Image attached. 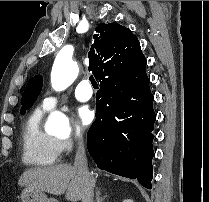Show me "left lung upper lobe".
Masks as SVG:
<instances>
[{
  "mask_svg": "<svg viewBox=\"0 0 209 202\" xmlns=\"http://www.w3.org/2000/svg\"><path fill=\"white\" fill-rule=\"evenodd\" d=\"M43 86V78L41 75H36L34 76L27 84L21 104H22V109H21V114L25 113V109H29L34 102L36 101L37 97L39 96Z\"/></svg>",
  "mask_w": 209,
  "mask_h": 202,
  "instance_id": "obj_1",
  "label": "left lung upper lobe"
}]
</instances>
